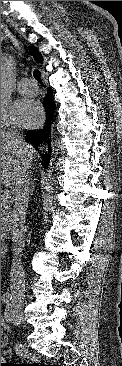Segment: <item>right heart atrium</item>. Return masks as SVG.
I'll return each instance as SVG.
<instances>
[{"label": "right heart atrium", "instance_id": "1", "mask_svg": "<svg viewBox=\"0 0 122 366\" xmlns=\"http://www.w3.org/2000/svg\"><path fill=\"white\" fill-rule=\"evenodd\" d=\"M17 125L13 119V116L10 118L8 115V110L6 107L1 106V130L3 129H14L15 125Z\"/></svg>", "mask_w": 122, "mask_h": 366}]
</instances>
